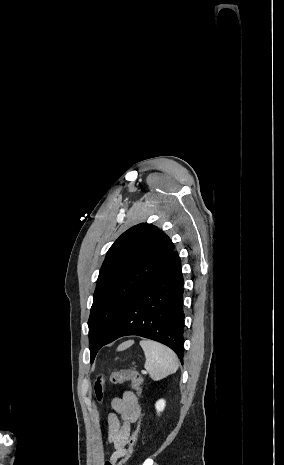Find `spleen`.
Here are the masks:
<instances>
[{
  "instance_id": "1",
  "label": "spleen",
  "mask_w": 284,
  "mask_h": 465,
  "mask_svg": "<svg viewBox=\"0 0 284 465\" xmlns=\"http://www.w3.org/2000/svg\"><path fill=\"white\" fill-rule=\"evenodd\" d=\"M140 347L146 359L144 367L153 381H160L176 373L179 367L178 359L171 349L155 341H149V339L140 341Z\"/></svg>"
}]
</instances>
